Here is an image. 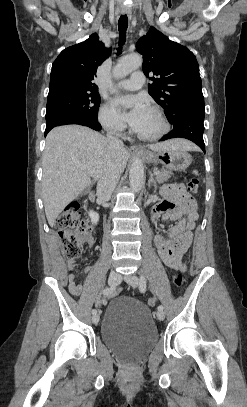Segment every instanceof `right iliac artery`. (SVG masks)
<instances>
[{"label":"right iliac artery","mask_w":247,"mask_h":407,"mask_svg":"<svg viewBox=\"0 0 247 407\" xmlns=\"http://www.w3.org/2000/svg\"><path fill=\"white\" fill-rule=\"evenodd\" d=\"M115 291H116V286L106 287V288L103 290V294H104L105 296H110V295H112ZM92 314H93V315L97 314V310H96V309H93V310H92Z\"/></svg>","instance_id":"1"}]
</instances>
